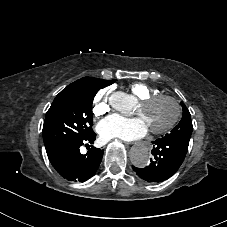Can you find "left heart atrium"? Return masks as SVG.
Masks as SVG:
<instances>
[{
  "label": "left heart atrium",
  "mask_w": 227,
  "mask_h": 227,
  "mask_svg": "<svg viewBox=\"0 0 227 227\" xmlns=\"http://www.w3.org/2000/svg\"><path fill=\"white\" fill-rule=\"evenodd\" d=\"M148 129L147 124L140 117L125 119L116 115L102 120L97 126V132L103 140L132 141L144 137Z\"/></svg>",
  "instance_id": "left-heart-atrium-1"
}]
</instances>
